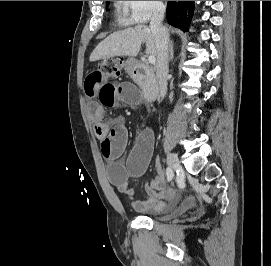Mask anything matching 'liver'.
Here are the masks:
<instances>
[{
  "mask_svg": "<svg viewBox=\"0 0 271 266\" xmlns=\"http://www.w3.org/2000/svg\"><path fill=\"white\" fill-rule=\"evenodd\" d=\"M146 45V54L157 56V48L154 34L146 25H137L109 35L90 55V61L94 62L115 56H137L141 44Z\"/></svg>",
  "mask_w": 271,
  "mask_h": 266,
  "instance_id": "obj_1",
  "label": "liver"
}]
</instances>
